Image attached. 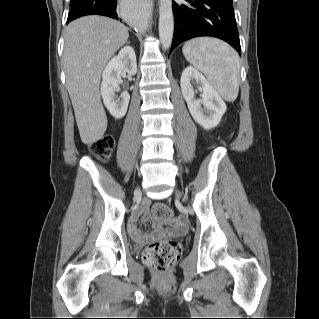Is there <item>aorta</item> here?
I'll return each instance as SVG.
<instances>
[{
    "mask_svg": "<svg viewBox=\"0 0 319 319\" xmlns=\"http://www.w3.org/2000/svg\"><path fill=\"white\" fill-rule=\"evenodd\" d=\"M173 30L172 0H159V38L163 49L171 46Z\"/></svg>",
    "mask_w": 319,
    "mask_h": 319,
    "instance_id": "762f6f07",
    "label": "aorta"
}]
</instances>
